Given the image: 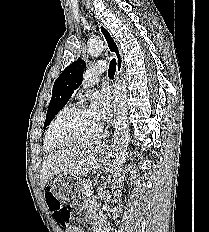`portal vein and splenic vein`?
<instances>
[{
    "label": "portal vein and splenic vein",
    "instance_id": "1",
    "mask_svg": "<svg viewBox=\"0 0 209 232\" xmlns=\"http://www.w3.org/2000/svg\"><path fill=\"white\" fill-rule=\"evenodd\" d=\"M93 191L92 190H88L86 193H85V196L86 197H90L92 195Z\"/></svg>",
    "mask_w": 209,
    "mask_h": 232
}]
</instances>
